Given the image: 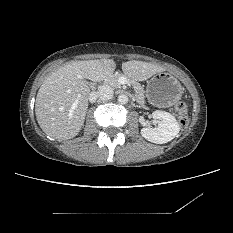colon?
I'll list each match as a JSON object with an SVG mask.
<instances>
[{"mask_svg": "<svg viewBox=\"0 0 233 233\" xmlns=\"http://www.w3.org/2000/svg\"><path fill=\"white\" fill-rule=\"evenodd\" d=\"M188 111H189V107L184 102H178L175 105V112L181 127H186L188 125L189 122Z\"/></svg>", "mask_w": 233, "mask_h": 233, "instance_id": "obj_1", "label": "colon"}]
</instances>
